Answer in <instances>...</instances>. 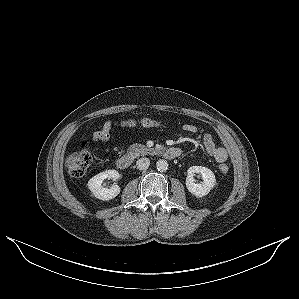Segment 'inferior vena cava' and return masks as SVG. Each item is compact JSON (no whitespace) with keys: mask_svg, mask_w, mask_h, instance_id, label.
<instances>
[{"mask_svg":"<svg viewBox=\"0 0 299 299\" xmlns=\"http://www.w3.org/2000/svg\"><path fill=\"white\" fill-rule=\"evenodd\" d=\"M136 165L139 170H145L149 167L150 160L146 157L140 158L137 160Z\"/></svg>","mask_w":299,"mask_h":299,"instance_id":"obj_1","label":"inferior vena cava"}]
</instances>
